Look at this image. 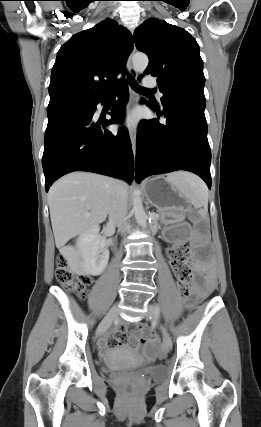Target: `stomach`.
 Returning a JSON list of instances; mask_svg holds the SVG:
<instances>
[{
	"mask_svg": "<svg viewBox=\"0 0 261 427\" xmlns=\"http://www.w3.org/2000/svg\"><path fill=\"white\" fill-rule=\"evenodd\" d=\"M149 202L166 220L181 221L189 211L190 202L177 184L167 178L154 177L143 184Z\"/></svg>",
	"mask_w": 261,
	"mask_h": 427,
	"instance_id": "obj_1",
	"label": "stomach"
}]
</instances>
